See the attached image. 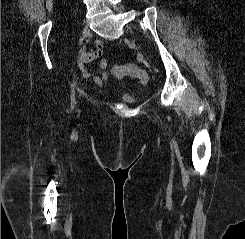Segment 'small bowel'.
Here are the masks:
<instances>
[{
  "instance_id": "c3829d8e",
  "label": "small bowel",
  "mask_w": 245,
  "mask_h": 239,
  "mask_svg": "<svg viewBox=\"0 0 245 239\" xmlns=\"http://www.w3.org/2000/svg\"><path fill=\"white\" fill-rule=\"evenodd\" d=\"M103 54V44L101 40L95 42V47L90 51H81L78 55V67L85 79H90L97 87H101L106 84L110 78L111 73L107 71L108 61L102 58L97 68L91 71L87 64L101 58Z\"/></svg>"
}]
</instances>
